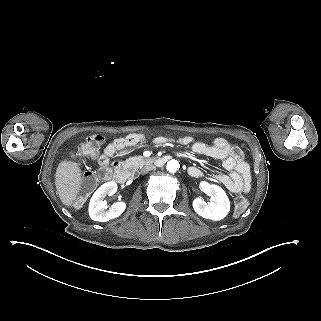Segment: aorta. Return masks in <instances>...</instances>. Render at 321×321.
Here are the masks:
<instances>
[{
    "label": "aorta",
    "mask_w": 321,
    "mask_h": 321,
    "mask_svg": "<svg viewBox=\"0 0 321 321\" xmlns=\"http://www.w3.org/2000/svg\"><path fill=\"white\" fill-rule=\"evenodd\" d=\"M179 167H180V165H179L178 161H176V160H174V159L171 160V161H169V162L167 163V166H166L167 170H168L170 173L176 172V171L179 169Z\"/></svg>",
    "instance_id": "1"
}]
</instances>
